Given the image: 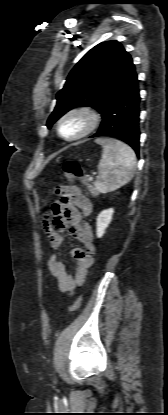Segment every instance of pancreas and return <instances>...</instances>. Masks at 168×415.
Instances as JSON below:
<instances>
[{
	"instance_id": "cf45deb5",
	"label": "pancreas",
	"mask_w": 168,
	"mask_h": 415,
	"mask_svg": "<svg viewBox=\"0 0 168 415\" xmlns=\"http://www.w3.org/2000/svg\"><path fill=\"white\" fill-rule=\"evenodd\" d=\"M85 182L86 183L89 182V179H85ZM90 191H91V193H92L93 196H96L97 195V192H96L95 189H91Z\"/></svg>"
}]
</instances>
